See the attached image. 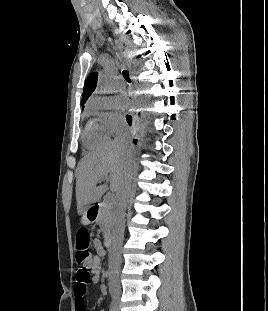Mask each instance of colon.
I'll return each instance as SVG.
<instances>
[{
	"label": "colon",
	"mask_w": 268,
	"mask_h": 311,
	"mask_svg": "<svg viewBox=\"0 0 268 311\" xmlns=\"http://www.w3.org/2000/svg\"><path fill=\"white\" fill-rule=\"evenodd\" d=\"M76 262L78 268L76 271L77 283L79 291L82 294L86 293V283L90 280L91 274L89 271V264L92 260L89 251V232L87 229H81L76 236Z\"/></svg>",
	"instance_id": "colon-1"
}]
</instances>
